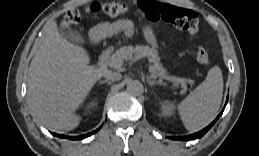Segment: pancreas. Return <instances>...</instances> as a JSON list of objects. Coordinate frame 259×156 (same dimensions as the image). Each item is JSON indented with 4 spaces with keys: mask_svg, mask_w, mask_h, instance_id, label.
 <instances>
[{
    "mask_svg": "<svg viewBox=\"0 0 259 156\" xmlns=\"http://www.w3.org/2000/svg\"><path fill=\"white\" fill-rule=\"evenodd\" d=\"M143 57H147L150 62L153 63V70L157 76L164 77L166 75V69L160 63V58L157 52L143 45L133 46H124L117 50L113 55L109 58V66L115 69H119L121 65L120 62L123 63L124 60H138Z\"/></svg>",
    "mask_w": 259,
    "mask_h": 156,
    "instance_id": "obj_1",
    "label": "pancreas"
}]
</instances>
